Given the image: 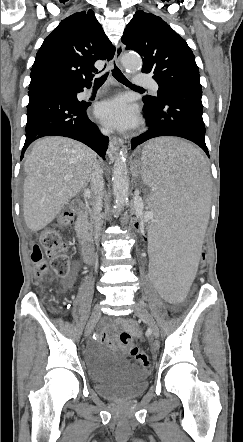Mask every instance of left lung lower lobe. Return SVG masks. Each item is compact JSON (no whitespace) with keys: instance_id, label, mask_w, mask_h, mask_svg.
<instances>
[{"instance_id":"1","label":"left lung lower lobe","mask_w":243,"mask_h":442,"mask_svg":"<svg viewBox=\"0 0 243 442\" xmlns=\"http://www.w3.org/2000/svg\"><path fill=\"white\" fill-rule=\"evenodd\" d=\"M201 89L199 83H172L162 90L156 105L144 104L143 111L149 129L131 140L132 149L155 137L177 136L194 142L209 157L202 119Z\"/></svg>"}]
</instances>
